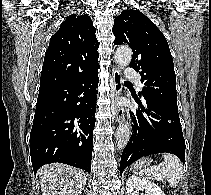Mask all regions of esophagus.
Returning a JSON list of instances; mask_svg holds the SVG:
<instances>
[{
  "label": "esophagus",
  "mask_w": 211,
  "mask_h": 195,
  "mask_svg": "<svg viewBox=\"0 0 211 195\" xmlns=\"http://www.w3.org/2000/svg\"><path fill=\"white\" fill-rule=\"evenodd\" d=\"M122 93V78L121 71L118 67L113 68V91H112V101H113V112L114 118L117 123H120L125 114V109L123 106L117 104V99Z\"/></svg>",
  "instance_id": "obj_1"
}]
</instances>
